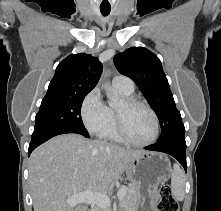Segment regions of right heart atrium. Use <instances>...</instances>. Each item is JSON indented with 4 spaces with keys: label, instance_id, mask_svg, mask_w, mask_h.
Instances as JSON below:
<instances>
[{
    "label": "right heart atrium",
    "instance_id": "obj_1",
    "mask_svg": "<svg viewBox=\"0 0 221 211\" xmlns=\"http://www.w3.org/2000/svg\"><path fill=\"white\" fill-rule=\"evenodd\" d=\"M80 115L85 128L93 135L102 136L111 124L109 107L98 88L92 89L83 99Z\"/></svg>",
    "mask_w": 221,
    "mask_h": 211
}]
</instances>
